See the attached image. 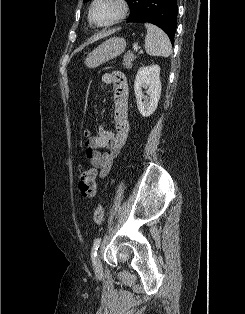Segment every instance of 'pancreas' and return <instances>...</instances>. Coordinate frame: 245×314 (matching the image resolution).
Returning a JSON list of instances; mask_svg holds the SVG:
<instances>
[{"instance_id": "obj_1", "label": "pancreas", "mask_w": 245, "mask_h": 314, "mask_svg": "<svg viewBox=\"0 0 245 314\" xmlns=\"http://www.w3.org/2000/svg\"><path fill=\"white\" fill-rule=\"evenodd\" d=\"M136 59V56L132 52H127L123 58V66L127 69L132 68V62Z\"/></svg>"}]
</instances>
